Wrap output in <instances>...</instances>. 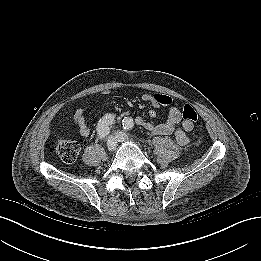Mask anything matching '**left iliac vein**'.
Returning <instances> with one entry per match:
<instances>
[{"label":"left iliac vein","instance_id":"4c4485c4","mask_svg":"<svg viewBox=\"0 0 261 261\" xmlns=\"http://www.w3.org/2000/svg\"><path fill=\"white\" fill-rule=\"evenodd\" d=\"M115 136H116V139L118 142H128L130 141V138L128 137V135L124 132H121V131H117L115 133Z\"/></svg>","mask_w":261,"mask_h":261}]
</instances>
